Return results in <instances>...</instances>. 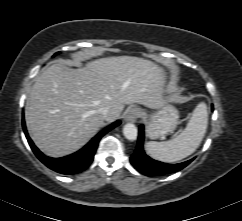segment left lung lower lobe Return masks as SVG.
<instances>
[{"label":"left lung lower lobe","mask_w":242,"mask_h":221,"mask_svg":"<svg viewBox=\"0 0 242 221\" xmlns=\"http://www.w3.org/2000/svg\"><path fill=\"white\" fill-rule=\"evenodd\" d=\"M143 142L144 127L143 125H140L137 146L130 158V162L136 170L146 176H159L177 172L186 167L193 160L191 159L179 164H166L153 160L145 154L143 149Z\"/></svg>","instance_id":"1"}]
</instances>
